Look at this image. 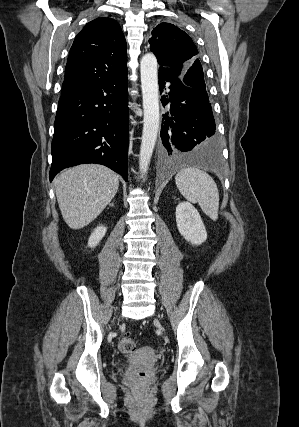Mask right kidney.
<instances>
[{
    "instance_id": "1",
    "label": "right kidney",
    "mask_w": 299,
    "mask_h": 427,
    "mask_svg": "<svg viewBox=\"0 0 299 427\" xmlns=\"http://www.w3.org/2000/svg\"><path fill=\"white\" fill-rule=\"evenodd\" d=\"M106 231H107V228L105 226H102V225L95 228V230L93 231V233L89 237L88 247H90V248L96 247L98 245V243L104 237Z\"/></svg>"
}]
</instances>
